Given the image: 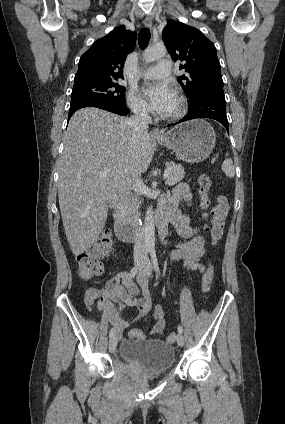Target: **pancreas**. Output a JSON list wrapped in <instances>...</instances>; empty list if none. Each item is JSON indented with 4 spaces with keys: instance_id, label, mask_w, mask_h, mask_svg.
<instances>
[{
    "instance_id": "cf45deb5",
    "label": "pancreas",
    "mask_w": 285,
    "mask_h": 424,
    "mask_svg": "<svg viewBox=\"0 0 285 424\" xmlns=\"http://www.w3.org/2000/svg\"><path fill=\"white\" fill-rule=\"evenodd\" d=\"M167 168L170 169L169 176L166 179V185L173 186L180 182L184 176L185 171L182 165L169 163ZM139 203L136 197L129 196L124 201V212L130 218H135L138 215Z\"/></svg>"
}]
</instances>
